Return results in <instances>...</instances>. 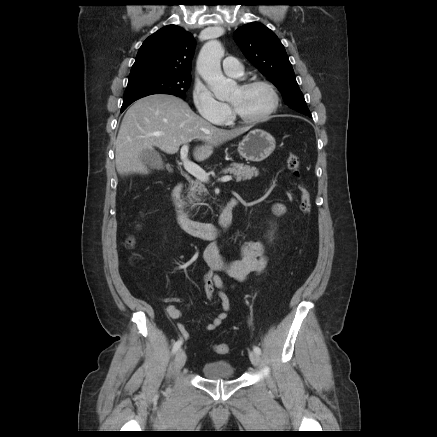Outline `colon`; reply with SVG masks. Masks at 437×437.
Segmentation results:
<instances>
[{"label": "colon", "instance_id": "5ec220e1", "mask_svg": "<svg viewBox=\"0 0 437 437\" xmlns=\"http://www.w3.org/2000/svg\"><path fill=\"white\" fill-rule=\"evenodd\" d=\"M287 167L292 174L298 179L300 177V158L296 153H290L287 157ZM300 192V210L304 214H308L311 210V195L310 192L300 184L298 186ZM135 243L133 238H129L127 244L133 246ZM214 350L218 354H226L229 351V346L226 343H218L214 346Z\"/></svg>", "mask_w": 437, "mask_h": 437}]
</instances>
